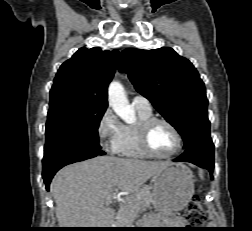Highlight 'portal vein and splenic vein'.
Listing matches in <instances>:
<instances>
[{"label": "portal vein and splenic vein", "instance_id": "1", "mask_svg": "<svg viewBox=\"0 0 252 231\" xmlns=\"http://www.w3.org/2000/svg\"><path fill=\"white\" fill-rule=\"evenodd\" d=\"M115 199H116V196H115L114 194H112V195H110V196H108V197L106 198L105 204H106V205H110V204L113 202V200H115Z\"/></svg>", "mask_w": 252, "mask_h": 231}]
</instances>
